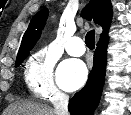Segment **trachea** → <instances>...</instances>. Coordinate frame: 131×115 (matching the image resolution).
Here are the masks:
<instances>
[{
  "mask_svg": "<svg viewBox=\"0 0 131 115\" xmlns=\"http://www.w3.org/2000/svg\"><path fill=\"white\" fill-rule=\"evenodd\" d=\"M85 43H86V46L89 48V49H94L95 47V33H94V30H90L86 37H85Z\"/></svg>",
  "mask_w": 131,
  "mask_h": 115,
  "instance_id": "1",
  "label": "trachea"
}]
</instances>
